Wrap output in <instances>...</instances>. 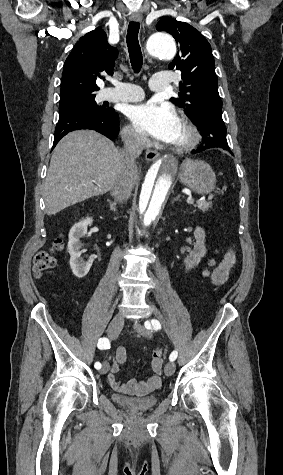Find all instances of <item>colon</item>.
I'll use <instances>...</instances> for the list:
<instances>
[{"label": "colon", "instance_id": "obj_1", "mask_svg": "<svg viewBox=\"0 0 283 475\" xmlns=\"http://www.w3.org/2000/svg\"><path fill=\"white\" fill-rule=\"evenodd\" d=\"M56 245H60V242H56ZM34 262L37 274L42 275L53 267L54 259L47 250H39L34 257ZM209 265L213 266L214 260H210ZM163 361V351L155 349L151 356V365L153 367L160 366Z\"/></svg>", "mask_w": 283, "mask_h": 475}]
</instances>
